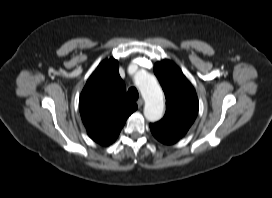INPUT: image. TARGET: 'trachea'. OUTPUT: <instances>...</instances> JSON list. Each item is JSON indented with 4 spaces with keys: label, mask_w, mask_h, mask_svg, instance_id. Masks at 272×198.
Masks as SVG:
<instances>
[{
    "label": "trachea",
    "mask_w": 272,
    "mask_h": 198,
    "mask_svg": "<svg viewBox=\"0 0 272 198\" xmlns=\"http://www.w3.org/2000/svg\"><path fill=\"white\" fill-rule=\"evenodd\" d=\"M128 96L132 100H137L138 97H139V93H138V91H137V89L135 87H131L128 90Z\"/></svg>",
    "instance_id": "obj_1"
}]
</instances>
